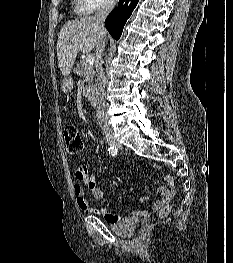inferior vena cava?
<instances>
[{"instance_id": "inferior-vena-cava-1", "label": "inferior vena cava", "mask_w": 233, "mask_h": 263, "mask_svg": "<svg viewBox=\"0 0 233 263\" xmlns=\"http://www.w3.org/2000/svg\"><path fill=\"white\" fill-rule=\"evenodd\" d=\"M117 0H105L101 8L92 17L97 29L99 30V41L96 44V63H97V82H96V116L98 118L99 124L102 129L109 131L110 127L107 123L105 116V84L106 77L102 69V64L100 62L102 51L105 47L104 37L106 35V29L104 27V21L112 9L115 7Z\"/></svg>"}]
</instances>
